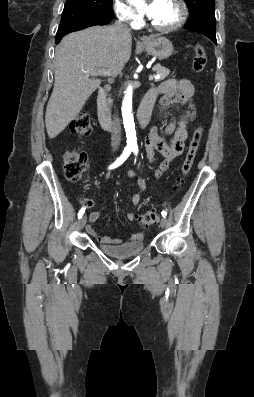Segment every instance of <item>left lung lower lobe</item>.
I'll list each match as a JSON object with an SVG mask.
<instances>
[{"label": "left lung lower lobe", "mask_w": 254, "mask_h": 397, "mask_svg": "<svg viewBox=\"0 0 254 397\" xmlns=\"http://www.w3.org/2000/svg\"><path fill=\"white\" fill-rule=\"evenodd\" d=\"M185 29L201 33L210 38L216 45V20L207 18L200 21H192L190 17L185 25Z\"/></svg>", "instance_id": "1"}]
</instances>
